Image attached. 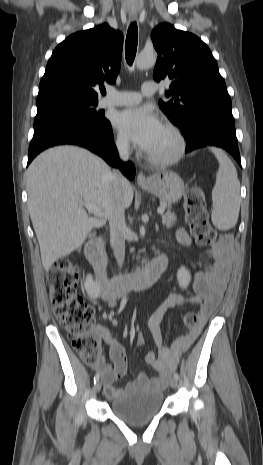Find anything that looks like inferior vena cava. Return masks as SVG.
I'll return each mask as SVG.
<instances>
[{"label": "inferior vena cava", "mask_w": 263, "mask_h": 465, "mask_svg": "<svg viewBox=\"0 0 263 465\" xmlns=\"http://www.w3.org/2000/svg\"><path fill=\"white\" fill-rule=\"evenodd\" d=\"M117 148L121 160L127 161L129 157L128 143L126 141L120 142L118 143ZM112 180L115 197L109 218L110 244L116 261L121 268L125 259V239L127 232L125 207L122 201V189L126 187L129 182L119 171H114L112 173Z\"/></svg>", "instance_id": "inferior-vena-cava-1"}]
</instances>
